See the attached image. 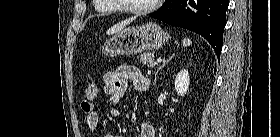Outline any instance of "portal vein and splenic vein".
I'll use <instances>...</instances> for the list:
<instances>
[{
	"label": "portal vein and splenic vein",
	"instance_id": "1",
	"mask_svg": "<svg viewBox=\"0 0 280 137\" xmlns=\"http://www.w3.org/2000/svg\"><path fill=\"white\" fill-rule=\"evenodd\" d=\"M161 61H162L161 58L157 59V62H161Z\"/></svg>",
	"mask_w": 280,
	"mask_h": 137
}]
</instances>
